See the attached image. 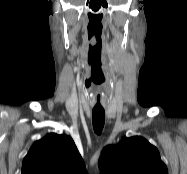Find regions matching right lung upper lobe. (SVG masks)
I'll return each instance as SVG.
<instances>
[{
	"instance_id": "obj_1",
	"label": "right lung upper lobe",
	"mask_w": 187,
	"mask_h": 174,
	"mask_svg": "<svg viewBox=\"0 0 187 174\" xmlns=\"http://www.w3.org/2000/svg\"><path fill=\"white\" fill-rule=\"evenodd\" d=\"M21 174H87L70 136L48 134L36 141L23 160Z\"/></svg>"
}]
</instances>
